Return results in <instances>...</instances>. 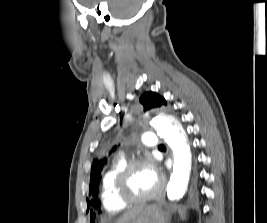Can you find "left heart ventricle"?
Masks as SVG:
<instances>
[{
  "label": "left heart ventricle",
  "instance_id": "1",
  "mask_svg": "<svg viewBox=\"0 0 267 223\" xmlns=\"http://www.w3.org/2000/svg\"><path fill=\"white\" fill-rule=\"evenodd\" d=\"M159 179L145 166L137 167L129 176L126 191L131 196H142L156 189Z\"/></svg>",
  "mask_w": 267,
  "mask_h": 223
}]
</instances>
